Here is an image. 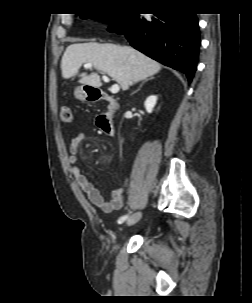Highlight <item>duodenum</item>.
Masks as SVG:
<instances>
[{
    "instance_id": "duodenum-1",
    "label": "duodenum",
    "mask_w": 252,
    "mask_h": 303,
    "mask_svg": "<svg viewBox=\"0 0 252 303\" xmlns=\"http://www.w3.org/2000/svg\"><path fill=\"white\" fill-rule=\"evenodd\" d=\"M87 99L90 101L104 100L107 102V109L99 115L98 125L107 136L114 135V125L111 122L113 114L119 108V104L112 96L94 89H86Z\"/></svg>"
}]
</instances>
